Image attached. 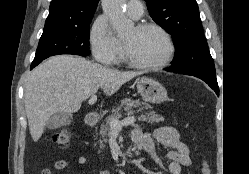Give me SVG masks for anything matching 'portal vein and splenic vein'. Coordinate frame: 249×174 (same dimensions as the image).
Returning <instances> with one entry per match:
<instances>
[{
	"label": "portal vein and splenic vein",
	"mask_w": 249,
	"mask_h": 174,
	"mask_svg": "<svg viewBox=\"0 0 249 174\" xmlns=\"http://www.w3.org/2000/svg\"><path fill=\"white\" fill-rule=\"evenodd\" d=\"M96 100H97V96L95 94H93L91 96V98L89 99L88 103L90 105H92L96 102ZM135 121H136V119L134 116H129L123 120L112 119L110 121V128L113 131H119L122 129L123 126L133 124Z\"/></svg>",
	"instance_id": "portal-vein-and-splenic-vein-1"
}]
</instances>
